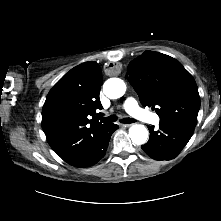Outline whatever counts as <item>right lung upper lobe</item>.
I'll return each instance as SVG.
<instances>
[{
	"label": "right lung upper lobe",
	"instance_id": "right-lung-upper-lobe-1",
	"mask_svg": "<svg viewBox=\"0 0 221 221\" xmlns=\"http://www.w3.org/2000/svg\"><path fill=\"white\" fill-rule=\"evenodd\" d=\"M101 70L96 62L82 63L50 90L42 110V128L51 148L66 161L83 149L109 123L97 120Z\"/></svg>",
	"mask_w": 221,
	"mask_h": 221
}]
</instances>
